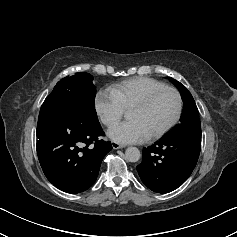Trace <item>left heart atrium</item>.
I'll return each instance as SVG.
<instances>
[{
  "label": "left heart atrium",
  "mask_w": 237,
  "mask_h": 237,
  "mask_svg": "<svg viewBox=\"0 0 237 237\" xmlns=\"http://www.w3.org/2000/svg\"><path fill=\"white\" fill-rule=\"evenodd\" d=\"M109 137L118 143H141L148 139V134L137 120H129L114 125L108 131Z\"/></svg>",
  "instance_id": "left-heart-atrium-1"
}]
</instances>
